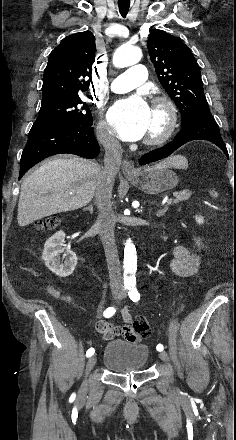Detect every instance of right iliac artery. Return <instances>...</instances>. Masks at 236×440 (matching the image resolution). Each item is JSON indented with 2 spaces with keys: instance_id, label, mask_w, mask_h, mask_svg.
<instances>
[{
  "instance_id": "82829eb1",
  "label": "right iliac artery",
  "mask_w": 236,
  "mask_h": 440,
  "mask_svg": "<svg viewBox=\"0 0 236 440\" xmlns=\"http://www.w3.org/2000/svg\"><path fill=\"white\" fill-rule=\"evenodd\" d=\"M116 312V309L114 307H108L104 312H103V316L105 318H110L112 317ZM95 350L94 348H89L86 352V357H90L94 354Z\"/></svg>"
}]
</instances>
